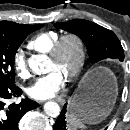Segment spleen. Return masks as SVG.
<instances>
[{"label": "spleen", "mask_w": 130, "mask_h": 130, "mask_svg": "<svg viewBox=\"0 0 130 130\" xmlns=\"http://www.w3.org/2000/svg\"><path fill=\"white\" fill-rule=\"evenodd\" d=\"M69 124L71 125V127H73L74 129L77 127H83V122L79 119H77L75 116L70 115L69 116ZM70 130V129H69Z\"/></svg>", "instance_id": "3e777b00"}]
</instances>
